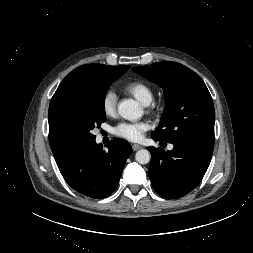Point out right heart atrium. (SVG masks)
Instances as JSON below:
<instances>
[{"label": "right heart atrium", "instance_id": "obj_1", "mask_svg": "<svg viewBox=\"0 0 253 253\" xmlns=\"http://www.w3.org/2000/svg\"><path fill=\"white\" fill-rule=\"evenodd\" d=\"M117 96L112 90H108L102 98V110L106 116L116 113Z\"/></svg>", "mask_w": 253, "mask_h": 253}]
</instances>
